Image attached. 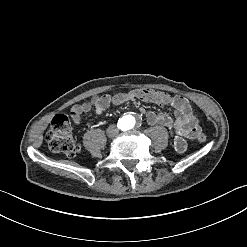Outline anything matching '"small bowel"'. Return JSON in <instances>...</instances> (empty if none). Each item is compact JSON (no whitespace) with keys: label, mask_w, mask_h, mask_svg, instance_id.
<instances>
[{"label":"small bowel","mask_w":247,"mask_h":247,"mask_svg":"<svg viewBox=\"0 0 247 247\" xmlns=\"http://www.w3.org/2000/svg\"><path fill=\"white\" fill-rule=\"evenodd\" d=\"M116 103L121 104L125 100L123 93L118 92L114 96ZM111 95L105 94L102 96L93 97L91 100L75 104L70 109V117L75 125H78L83 114L95 111L97 114H102L111 105ZM175 111V117L166 113H157L155 111H144V117L149 125L160 124L170 130L172 133V141L174 149L177 153L183 154L187 150V140L197 138V134L201 132L200 124H192V119H195L189 101L179 95H174V102L170 106Z\"/></svg>","instance_id":"c3829d8e"}]
</instances>
